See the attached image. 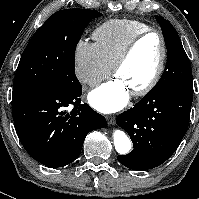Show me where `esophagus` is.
Listing matches in <instances>:
<instances>
[{"mask_svg":"<svg viewBox=\"0 0 199 199\" xmlns=\"http://www.w3.org/2000/svg\"><path fill=\"white\" fill-rule=\"evenodd\" d=\"M107 122L108 124L113 125L115 123V116L113 115L107 116Z\"/></svg>","mask_w":199,"mask_h":199,"instance_id":"obj_1","label":"esophagus"}]
</instances>
